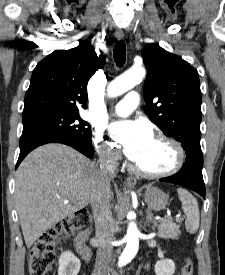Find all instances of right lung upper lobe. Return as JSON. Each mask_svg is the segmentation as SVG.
I'll return each mask as SVG.
<instances>
[{"label": "right lung upper lobe", "instance_id": "right-lung-upper-lobe-1", "mask_svg": "<svg viewBox=\"0 0 225 275\" xmlns=\"http://www.w3.org/2000/svg\"><path fill=\"white\" fill-rule=\"evenodd\" d=\"M85 41L76 48L54 51L35 67L22 116L50 111H79L87 107V83L105 64Z\"/></svg>", "mask_w": 225, "mask_h": 275}]
</instances>
